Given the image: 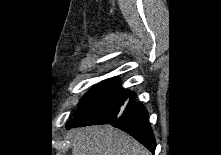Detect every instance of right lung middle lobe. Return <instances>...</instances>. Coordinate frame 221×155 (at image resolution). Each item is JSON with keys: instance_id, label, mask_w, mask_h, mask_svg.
I'll return each mask as SVG.
<instances>
[{"instance_id": "1", "label": "right lung middle lobe", "mask_w": 221, "mask_h": 155, "mask_svg": "<svg viewBox=\"0 0 221 155\" xmlns=\"http://www.w3.org/2000/svg\"><path fill=\"white\" fill-rule=\"evenodd\" d=\"M108 81L95 86L93 90L89 91L83 98L79 105V110L77 111L75 118L67 124V129L81 124L88 115L95 109L100 99L102 98Z\"/></svg>"}]
</instances>
